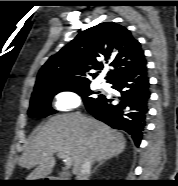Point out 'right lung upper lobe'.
Masks as SVG:
<instances>
[{
    "label": "right lung upper lobe",
    "instance_id": "obj_1",
    "mask_svg": "<svg viewBox=\"0 0 178 186\" xmlns=\"http://www.w3.org/2000/svg\"><path fill=\"white\" fill-rule=\"evenodd\" d=\"M144 52L140 43L125 27L105 22L80 32L57 54L51 56L40 69L34 95L44 89H66L89 85L86 72L113 67L107 73L109 82L119 73L143 63ZM95 77V74H89Z\"/></svg>",
    "mask_w": 178,
    "mask_h": 186
}]
</instances>
